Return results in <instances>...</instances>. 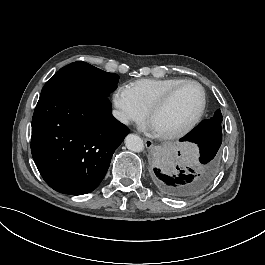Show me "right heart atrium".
Segmentation results:
<instances>
[{
    "label": "right heart atrium",
    "mask_w": 265,
    "mask_h": 265,
    "mask_svg": "<svg viewBox=\"0 0 265 265\" xmlns=\"http://www.w3.org/2000/svg\"><path fill=\"white\" fill-rule=\"evenodd\" d=\"M135 103L134 96L126 85H119L112 99V118L120 127L142 126L146 122L147 112L139 109L134 115L132 106Z\"/></svg>",
    "instance_id": "d8ad5b80"
}]
</instances>
